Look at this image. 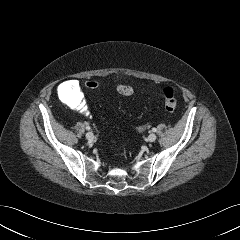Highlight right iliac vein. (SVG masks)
I'll return each instance as SVG.
<instances>
[{"label":"right iliac vein","mask_w":240,"mask_h":240,"mask_svg":"<svg viewBox=\"0 0 240 240\" xmlns=\"http://www.w3.org/2000/svg\"><path fill=\"white\" fill-rule=\"evenodd\" d=\"M85 136H86V139H88L89 141L93 140V138H94V135H93L92 132H88V133H86Z\"/></svg>","instance_id":"63e3f726"}]
</instances>
